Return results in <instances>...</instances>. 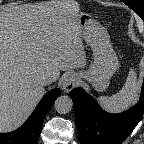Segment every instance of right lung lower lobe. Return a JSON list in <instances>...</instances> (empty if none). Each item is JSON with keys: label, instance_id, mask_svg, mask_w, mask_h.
<instances>
[{"label": "right lung lower lobe", "instance_id": "1", "mask_svg": "<svg viewBox=\"0 0 144 144\" xmlns=\"http://www.w3.org/2000/svg\"><path fill=\"white\" fill-rule=\"evenodd\" d=\"M59 95V89L49 91L20 128L10 133H0V144H37L43 120Z\"/></svg>", "mask_w": 144, "mask_h": 144}]
</instances>
